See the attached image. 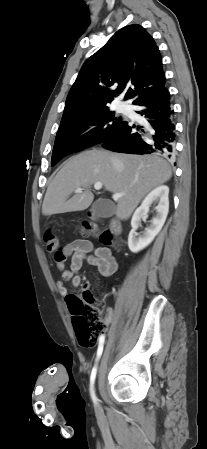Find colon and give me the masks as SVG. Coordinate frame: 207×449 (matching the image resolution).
Wrapping results in <instances>:
<instances>
[{
	"label": "colon",
	"instance_id": "colon-1",
	"mask_svg": "<svg viewBox=\"0 0 207 449\" xmlns=\"http://www.w3.org/2000/svg\"><path fill=\"white\" fill-rule=\"evenodd\" d=\"M83 236H98L101 242L112 244L114 237L108 230H101L93 223L84 222L78 226ZM44 240L49 252L55 254L58 262L66 259L64 251L60 248L59 240L53 232V227L48 226L44 231ZM67 304L71 313L72 325L76 337L82 346H95L100 335L107 331V324L100 317L96 306V298L93 292L85 288L80 294H72L67 297Z\"/></svg>",
	"mask_w": 207,
	"mask_h": 449
}]
</instances>
